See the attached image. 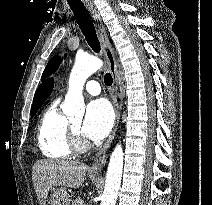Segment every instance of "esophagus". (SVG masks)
I'll use <instances>...</instances> for the list:
<instances>
[{
  "mask_svg": "<svg viewBox=\"0 0 212 205\" xmlns=\"http://www.w3.org/2000/svg\"><path fill=\"white\" fill-rule=\"evenodd\" d=\"M87 9L89 10L94 23H95V28L97 31V35L99 37L101 46L103 48L105 57L108 62L109 70L112 75L113 79V84H112V96H113V104L115 108V123L113 126V129L111 131V134L109 135L108 139L106 142L103 144V146L100 148L98 153L96 154V157L94 159L93 165L91 167V173L93 174H99L102 170V165H103V159L105 156V153L107 152L108 148L110 147L115 134L118 129L119 125V120H120V109L118 107L117 101H116V95H117V90H118V62L114 54V50L111 46V43L109 41L106 28L103 25L101 16L99 12L95 9V7L92 4H87L86 5Z\"/></svg>",
  "mask_w": 212,
  "mask_h": 205,
  "instance_id": "34e87169",
  "label": "esophagus"
}]
</instances>
